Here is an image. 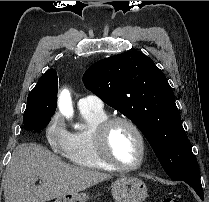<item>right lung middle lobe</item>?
Returning a JSON list of instances; mask_svg holds the SVG:
<instances>
[{
    "mask_svg": "<svg viewBox=\"0 0 209 202\" xmlns=\"http://www.w3.org/2000/svg\"><path fill=\"white\" fill-rule=\"evenodd\" d=\"M56 88L52 84L36 85L29 93L26 110L23 115L26 130L40 131L51 120L56 110Z\"/></svg>",
    "mask_w": 209,
    "mask_h": 202,
    "instance_id": "1",
    "label": "right lung middle lobe"
}]
</instances>
